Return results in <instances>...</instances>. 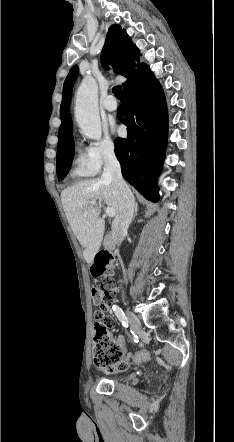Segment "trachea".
I'll list each match as a JSON object with an SVG mask.
<instances>
[{
    "label": "trachea",
    "instance_id": "trachea-1",
    "mask_svg": "<svg viewBox=\"0 0 234 442\" xmlns=\"http://www.w3.org/2000/svg\"><path fill=\"white\" fill-rule=\"evenodd\" d=\"M112 91L115 95V97L119 100L123 99V94H122V87L121 86H115L112 88Z\"/></svg>",
    "mask_w": 234,
    "mask_h": 442
}]
</instances>
